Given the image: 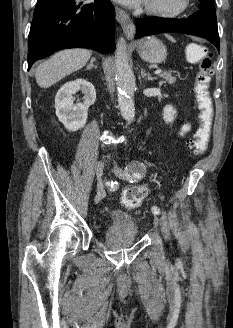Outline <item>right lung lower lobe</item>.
Instances as JSON below:
<instances>
[{
	"label": "right lung lower lobe",
	"mask_w": 233,
	"mask_h": 328,
	"mask_svg": "<svg viewBox=\"0 0 233 328\" xmlns=\"http://www.w3.org/2000/svg\"><path fill=\"white\" fill-rule=\"evenodd\" d=\"M114 7L108 0H38L28 39V70L55 51L89 48L109 53L114 44Z\"/></svg>",
	"instance_id": "1"
}]
</instances>
